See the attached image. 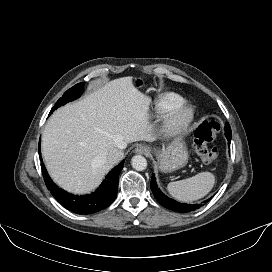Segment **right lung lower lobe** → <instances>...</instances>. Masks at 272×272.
I'll return each instance as SVG.
<instances>
[{
	"instance_id": "right-lung-lower-lobe-1",
	"label": "right lung lower lobe",
	"mask_w": 272,
	"mask_h": 272,
	"mask_svg": "<svg viewBox=\"0 0 272 272\" xmlns=\"http://www.w3.org/2000/svg\"><path fill=\"white\" fill-rule=\"evenodd\" d=\"M39 155L42 161L40 150ZM123 162H120L108 173L100 187L94 193L84 196L72 195L60 189L50 179L43 163L41 164V168L48 190L62 206L77 214H92L108 207L115 200L118 190V177L123 169Z\"/></svg>"
}]
</instances>
